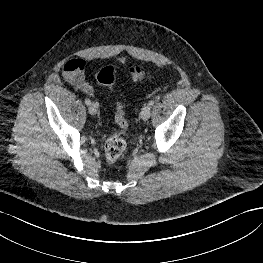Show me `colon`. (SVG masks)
Instances as JSON below:
<instances>
[{
	"instance_id": "obj_1",
	"label": "colon",
	"mask_w": 263,
	"mask_h": 263,
	"mask_svg": "<svg viewBox=\"0 0 263 263\" xmlns=\"http://www.w3.org/2000/svg\"><path fill=\"white\" fill-rule=\"evenodd\" d=\"M130 75L134 81L142 80L149 76L148 73L139 67L131 68ZM97 81L109 90H113L116 82L114 69L111 66L103 67L97 75ZM115 122L119 130L116 134L106 140L104 147L105 158L109 163L116 162L124 154L127 148L125 133L128 128V121L125 116L123 105L120 102L117 103Z\"/></svg>"
}]
</instances>
